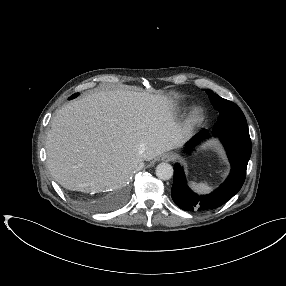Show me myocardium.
<instances>
[{
    "label": "myocardium",
    "instance_id": "f54148a6",
    "mask_svg": "<svg viewBox=\"0 0 286 286\" xmlns=\"http://www.w3.org/2000/svg\"><path fill=\"white\" fill-rule=\"evenodd\" d=\"M204 120V113L200 107H194L189 113V121L191 124L197 125Z\"/></svg>",
    "mask_w": 286,
    "mask_h": 286
}]
</instances>
